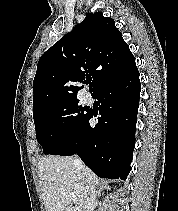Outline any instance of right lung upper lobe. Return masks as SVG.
<instances>
[{
	"label": "right lung upper lobe",
	"instance_id": "1",
	"mask_svg": "<svg viewBox=\"0 0 178 211\" xmlns=\"http://www.w3.org/2000/svg\"><path fill=\"white\" fill-rule=\"evenodd\" d=\"M135 67V58L114 20L101 12L88 13L38 61L33 81V114L49 105L77 99L82 88L79 84L87 83L91 76L94 95Z\"/></svg>",
	"mask_w": 178,
	"mask_h": 211
}]
</instances>
